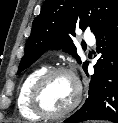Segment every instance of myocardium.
<instances>
[{
  "instance_id": "1",
  "label": "myocardium",
  "mask_w": 118,
  "mask_h": 123,
  "mask_svg": "<svg viewBox=\"0 0 118 123\" xmlns=\"http://www.w3.org/2000/svg\"><path fill=\"white\" fill-rule=\"evenodd\" d=\"M60 73L67 74L72 78L76 86V95L72 103L64 110L59 112H52L47 110L42 104L41 95L43 88L45 84L48 82V80L52 76ZM82 95H83L82 83L74 70L65 66L52 67L45 70L34 83L30 94V106L36 114L41 116V118L59 119L68 115L79 105L82 99Z\"/></svg>"
}]
</instances>
